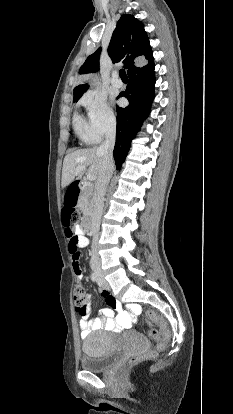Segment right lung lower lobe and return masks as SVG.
I'll list each match as a JSON object with an SVG mask.
<instances>
[{"label":"right lung lower lobe","instance_id":"obj_1","mask_svg":"<svg viewBox=\"0 0 233 414\" xmlns=\"http://www.w3.org/2000/svg\"><path fill=\"white\" fill-rule=\"evenodd\" d=\"M154 67L155 65L142 73L130 76L127 89L118 96V98L124 96L129 100L127 107L117 106L116 108L117 130L114 160L118 170L129 151L131 140L150 111L156 81Z\"/></svg>","mask_w":233,"mask_h":414}]
</instances>
